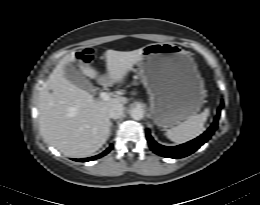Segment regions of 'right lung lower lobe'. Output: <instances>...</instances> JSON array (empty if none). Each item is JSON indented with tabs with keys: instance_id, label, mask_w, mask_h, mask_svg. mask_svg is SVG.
<instances>
[{
	"instance_id": "1",
	"label": "right lung lower lobe",
	"mask_w": 260,
	"mask_h": 205,
	"mask_svg": "<svg viewBox=\"0 0 260 205\" xmlns=\"http://www.w3.org/2000/svg\"><path fill=\"white\" fill-rule=\"evenodd\" d=\"M112 148H113V145H110V147L108 149H106L103 153H101L99 155H96V156H93V157H90V158L74 159V160L80 161V162H86V161L95 160L97 158H100V157L106 155Z\"/></svg>"
}]
</instances>
